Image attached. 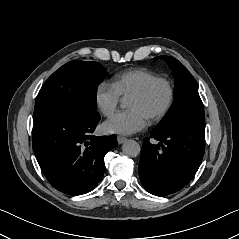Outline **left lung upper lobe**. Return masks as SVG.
<instances>
[{"instance_id": "obj_1", "label": "left lung upper lobe", "mask_w": 239, "mask_h": 239, "mask_svg": "<svg viewBox=\"0 0 239 239\" xmlns=\"http://www.w3.org/2000/svg\"><path fill=\"white\" fill-rule=\"evenodd\" d=\"M160 58L167 62L175 77L173 103L153 130L157 133L165 132L176 125L188 121H205L204 108L198 94V86L187 68L171 56L162 55Z\"/></svg>"}]
</instances>
